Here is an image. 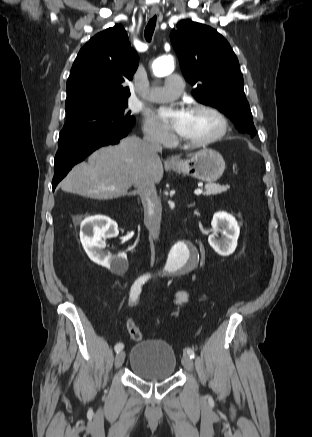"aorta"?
<instances>
[{
    "instance_id": "aorta-1",
    "label": "aorta",
    "mask_w": 312,
    "mask_h": 437,
    "mask_svg": "<svg viewBox=\"0 0 312 437\" xmlns=\"http://www.w3.org/2000/svg\"><path fill=\"white\" fill-rule=\"evenodd\" d=\"M153 73L157 77L169 75L174 70V59L171 56L157 58L152 64ZM197 253L186 243H176L169 254L164 270L168 273L186 271L192 268L197 261Z\"/></svg>"
}]
</instances>
